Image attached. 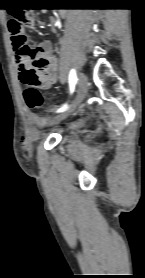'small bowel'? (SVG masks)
<instances>
[{
	"instance_id": "1",
	"label": "small bowel",
	"mask_w": 145,
	"mask_h": 278,
	"mask_svg": "<svg viewBox=\"0 0 145 278\" xmlns=\"http://www.w3.org/2000/svg\"><path fill=\"white\" fill-rule=\"evenodd\" d=\"M34 19H31L30 26L33 27ZM12 48L14 51V59L16 63V68L19 71L20 78L22 80L23 74L33 67L34 62L39 66V70L42 71L43 80H42V89L48 90L51 89L58 79V65L57 60L53 56H49L52 51V43L50 41H44L35 47H30L33 54L36 56L37 60L32 58L33 55H27L23 47H18L11 37ZM22 50V52H21ZM29 120L31 123H36L38 121L37 117L29 113Z\"/></svg>"
}]
</instances>
